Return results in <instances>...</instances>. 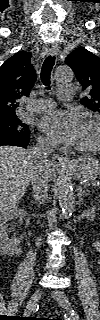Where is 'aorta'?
Listing matches in <instances>:
<instances>
[{"label":"aorta","instance_id":"obj_1","mask_svg":"<svg viewBox=\"0 0 100 320\" xmlns=\"http://www.w3.org/2000/svg\"><path fill=\"white\" fill-rule=\"evenodd\" d=\"M73 78V71L68 66H60L56 69L55 79L57 82H69ZM56 196L59 205L62 209V215L68 219L73 211L75 205V197L71 183L65 178H60L56 187Z\"/></svg>","mask_w":100,"mask_h":320}]
</instances>
